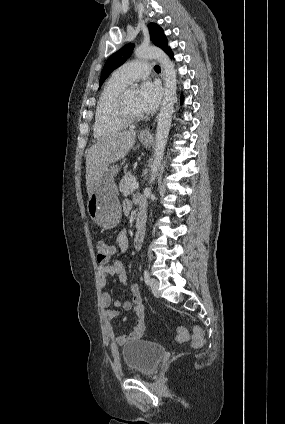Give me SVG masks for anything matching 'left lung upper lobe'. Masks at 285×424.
<instances>
[{"instance_id":"5c2ea615","label":"left lung upper lobe","mask_w":285,"mask_h":424,"mask_svg":"<svg viewBox=\"0 0 285 424\" xmlns=\"http://www.w3.org/2000/svg\"><path fill=\"white\" fill-rule=\"evenodd\" d=\"M148 29L153 43L164 51L167 50L168 41L163 30L155 23H150ZM133 48L134 44H127L108 58L101 73L100 86L114 69L121 66L130 57Z\"/></svg>"}]
</instances>
